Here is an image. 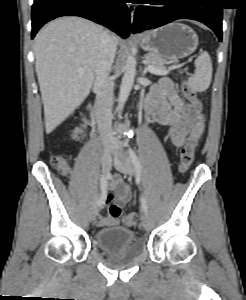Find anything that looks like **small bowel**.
Masks as SVG:
<instances>
[{
    "label": "small bowel",
    "mask_w": 246,
    "mask_h": 300,
    "mask_svg": "<svg viewBox=\"0 0 246 300\" xmlns=\"http://www.w3.org/2000/svg\"><path fill=\"white\" fill-rule=\"evenodd\" d=\"M147 105L153 121L169 127L167 141L172 148H178L183 144L185 136L193 126H196L199 133L203 131L202 124L195 125V114L199 108L186 105L167 78L160 81L159 88L151 91ZM110 189L113 194L106 193L104 203L114 200L118 206H124L130 200V189L119 176L113 178ZM116 223L117 220L111 216L96 215V224L100 227Z\"/></svg>",
    "instance_id": "small-bowel-1"
}]
</instances>
